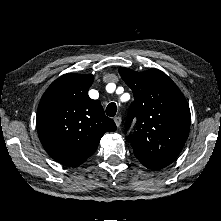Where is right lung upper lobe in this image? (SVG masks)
Here are the masks:
<instances>
[{
  "label": "right lung upper lobe",
  "mask_w": 221,
  "mask_h": 221,
  "mask_svg": "<svg viewBox=\"0 0 221 221\" xmlns=\"http://www.w3.org/2000/svg\"><path fill=\"white\" fill-rule=\"evenodd\" d=\"M93 75L68 73L56 79L42 96L37 132L46 152L66 166H79L96 151L106 132L116 130L98 100L88 95Z\"/></svg>",
  "instance_id": "1"
}]
</instances>
